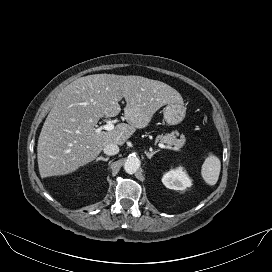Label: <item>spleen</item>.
<instances>
[{
  "mask_svg": "<svg viewBox=\"0 0 272 272\" xmlns=\"http://www.w3.org/2000/svg\"><path fill=\"white\" fill-rule=\"evenodd\" d=\"M220 169L221 163L219 158L210 153L202 165L201 175L204 181L210 186L215 185L219 178Z\"/></svg>",
  "mask_w": 272,
  "mask_h": 272,
  "instance_id": "1",
  "label": "spleen"
}]
</instances>
